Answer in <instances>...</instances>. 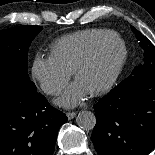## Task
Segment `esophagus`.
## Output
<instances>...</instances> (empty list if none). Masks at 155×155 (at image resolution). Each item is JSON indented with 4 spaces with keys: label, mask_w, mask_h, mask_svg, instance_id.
<instances>
[{
    "label": "esophagus",
    "mask_w": 155,
    "mask_h": 155,
    "mask_svg": "<svg viewBox=\"0 0 155 155\" xmlns=\"http://www.w3.org/2000/svg\"><path fill=\"white\" fill-rule=\"evenodd\" d=\"M66 115L68 119L71 120L76 116V112H67Z\"/></svg>",
    "instance_id": "obj_1"
}]
</instances>
